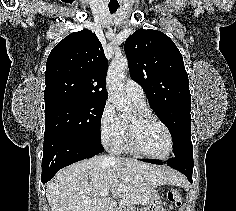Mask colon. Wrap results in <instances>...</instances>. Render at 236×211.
Wrapping results in <instances>:
<instances>
[{
    "label": "colon",
    "mask_w": 236,
    "mask_h": 211,
    "mask_svg": "<svg viewBox=\"0 0 236 211\" xmlns=\"http://www.w3.org/2000/svg\"><path fill=\"white\" fill-rule=\"evenodd\" d=\"M168 202H169V209L171 210L174 206H178L181 204L182 201V195L177 190H171L168 193ZM167 211V210H165Z\"/></svg>",
    "instance_id": "colon-1"
}]
</instances>
